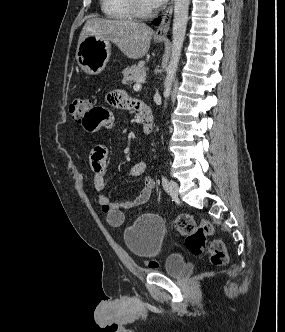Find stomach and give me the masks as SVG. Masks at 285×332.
<instances>
[{
    "label": "stomach",
    "mask_w": 285,
    "mask_h": 332,
    "mask_svg": "<svg viewBox=\"0 0 285 332\" xmlns=\"http://www.w3.org/2000/svg\"><path fill=\"white\" fill-rule=\"evenodd\" d=\"M162 42L163 38H157ZM111 55V44L108 40L95 35L85 37L77 47L76 59L80 68L89 75L103 71Z\"/></svg>",
    "instance_id": "0dacf381"
}]
</instances>
